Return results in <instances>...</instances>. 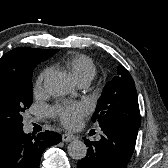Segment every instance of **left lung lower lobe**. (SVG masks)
<instances>
[{
    "instance_id": "0a47b994",
    "label": "left lung lower lobe",
    "mask_w": 168,
    "mask_h": 168,
    "mask_svg": "<svg viewBox=\"0 0 168 168\" xmlns=\"http://www.w3.org/2000/svg\"><path fill=\"white\" fill-rule=\"evenodd\" d=\"M101 129L99 141L84 138L88 150L78 168H125L132 157L138 130L119 122L105 124Z\"/></svg>"
}]
</instances>
